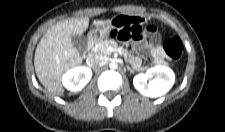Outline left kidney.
I'll use <instances>...</instances> for the list:
<instances>
[{"mask_svg":"<svg viewBox=\"0 0 225 132\" xmlns=\"http://www.w3.org/2000/svg\"><path fill=\"white\" fill-rule=\"evenodd\" d=\"M175 82V74L169 67L155 66L133 79L134 87L144 96L156 98L167 93Z\"/></svg>","mask_w":225,"mask_h":132,"instance_id":"5707ae66","label":"left kidney"}]
</instances>
